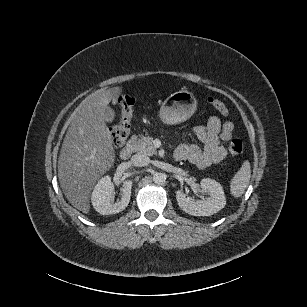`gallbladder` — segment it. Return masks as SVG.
<instances>
[{"label": "gallbladder", "instance_id": "gallbladder-1", "mask_svg": "<svg viewBox=\"0 0 307 307\" xmlns=\"http://www.w3.org/2000/svg\"><path fill=\"white\" fill-rule=\"evenodd\" d=\"M113 118H115V113L112 110L111 106L105 107V121L109 122V125H114Z\"/></svg>", "mask_w": 307, "mask_h": 307}]
</instances>
